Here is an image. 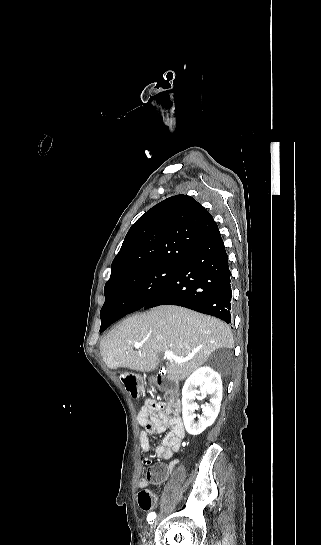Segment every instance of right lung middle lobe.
<instances>
[{"label":"right lung middle lobe","instance_id":"obj_1","mask_svg":"<svg viewBox=\"0 0 321 545\" xmlns=\"http://www.w3.org/2000/svg\"><path fill=\"white\" fill-rule=\"evenodd\" d=\"M180 267L181 265L161 264L123 274L115 283L105 287L104 305L116 301L135 309L133 311L139 310L175 276ZM106 323L101 316L100 332Z\"/></svg>","mask_w":321,"mask_h":545}]
</instances>
